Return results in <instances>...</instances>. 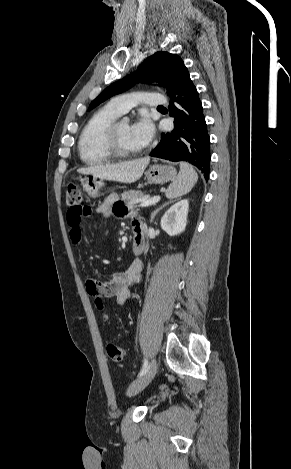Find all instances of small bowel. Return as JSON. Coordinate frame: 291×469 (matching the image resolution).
Wrapping results in <instances>:
<instances>
[{
  "mask_svg": "<svg viewBox=\"0 0 291 469\" xmlns=\"http://www.w3.org/2000/svg\"><path fill=\"white\" fill-rule=\"evenodd\" d=\"M96 213L104 217L113 215L124 217L131 214L128 209L117 200L115 195L109 196L96 210ZM83 217L84 216L80 215L75 209H70L67 212V223L70 227V239L73 244H79L81 242V220ZM132 225L133 227H143L140 218H134ZM142 269L143 262L141 260H134L126 270L114 273L107 281L100 282L92 277L86 278V289L90 295L97 299L115 298L117 303L122 305L130 297L132 285L140 280Z\"/></svg>",
  "mask_w": 291,
  "mask_h": 469,
  "instance_id": "small-bowel-1",
  "label": "small bowel"
}]
</instances>
